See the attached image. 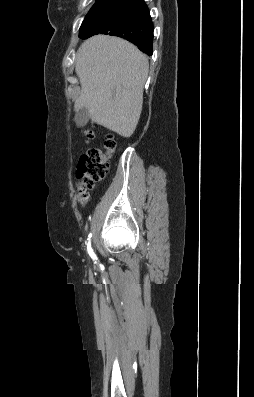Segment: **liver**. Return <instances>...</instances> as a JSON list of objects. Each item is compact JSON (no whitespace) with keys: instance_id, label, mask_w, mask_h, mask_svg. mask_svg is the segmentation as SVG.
I'll use <instances>...</instances> for the list:
<instances>
[{"instance_id":"obj_1","label":"liver","mask_w":254,"mask_h":397,"mask_svg":"<svg viewBox=\"0 0 254 397\" xmlns=\"http://www.w3.org/2000/svg\"><path fill=\"white\" fill-rule=\"evenodd\" d=\"M75 71L81 85L76 111L86 107L92 122L130 137L142 111L147 56L124 39L96 35L79 48Z\"/></svg>"}]
</instances>
